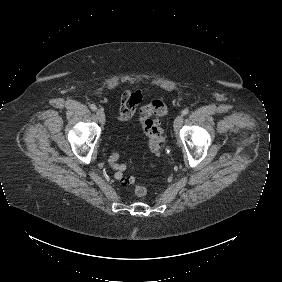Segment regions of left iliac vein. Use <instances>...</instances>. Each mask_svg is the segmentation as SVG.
Instances as JSON below:
<instances>
[{"mask_svg": "<svg viewBox=\"0 0 282 282\" xmlns=\"http://www.w3.org/2000/svg\"><path fill=\"white\" fill-rule=\"evenodd\" d=\"M183 115H178L175 120H174V124H173V127H174V131L178 132L179 128L181 127V125L183 124Z\"/></svg>", "mask_w": 282, "mask_h": 282, "instance_id": "4c4485c4", "label": "left iliac vein"}]
</instances>
